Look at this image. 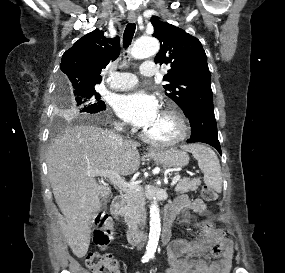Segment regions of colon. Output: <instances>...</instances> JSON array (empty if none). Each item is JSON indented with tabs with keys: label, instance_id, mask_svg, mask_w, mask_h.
<instances>
[{
	"label": "colon",
	"instance_id": "5ec220e1",
	"mask_svg": "<svg viewBox=\"0 0 285 273\" xmlns=\"http://www.w3.org/2000/svg\"><path fill=\"white\" fill-rule=\"evenodd\" d=\"M202 197L206 201H216L218 194L210 186H204ZM113 238V231L107 219L100 218L93 234V243L100 249L106 248ZM86 266L91 273H117V264L113 258L106 253L90 252L86 256Z\"/></svg>",
	"mask_w": 285,
	"mask_h": 273
}]
</instances>
